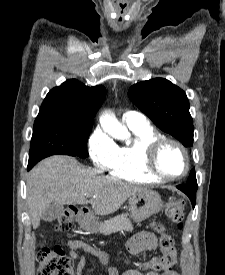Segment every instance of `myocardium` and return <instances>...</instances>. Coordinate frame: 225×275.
Returning <instances> with one entry per match:
<instances>
[{"label":"myocardium","instance_id":"obj_1","mask_svg":"<svg viewBox=\"0 0 225 275\" xmlns=\"http://www.w3.org/2000/svg\"><path fill=\"white\" fill-rule=\"evenodd\" d=\"M167 145H174L176 146L184 159V168L182 170V172L180 174L177 175H167L164 174L160 168H159V164H158V159H159V155L161 153V151L163 150V148ZM144 166L145 169L155 178L159 179V180H175V179H179L182 178L183 176H185L188 173L189 167H190V160H189V154L188 151L186 150L185 146L172 138H168V137H159L151 142H149L148 144H146L145 148H144Z\"/></svg>","mask_w":225,"mask_h":275}]
</instances>
